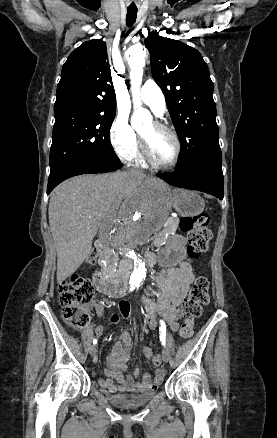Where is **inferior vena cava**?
Here are the masks:
<instances>
[{
  "instance_id": "obj_1",
  "label": "inferior vena cava",
  "mask_w": 277,
  "mask_h": 438,
  "mask_svg": "<svg viewBox=\"0 0 277 438\" xmlns=\"http://www.w3.org/2000/svg\"><path fill=\"white\" fill-rule=\"evenodd\" d=\"M131 172H136V174H139L138 170H131Z\"/></svg>"
}]
</instances>
